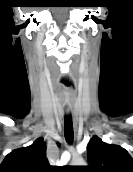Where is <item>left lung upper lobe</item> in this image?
Instances as JSON below:
<instances>
[{"mask_svg": "<svg viewBox=\"0 0 133 172\" xmlns=\"http://www.w3.org/2000/svg\"><path fill=\"white\" fill-rule=\"evenodd\" d=\"M89 166L85 172H133V160L128 152L118 145L106 144L94 136L87 146Z\"/></svg>", "mask_w": 133, "mask_h": 172, "instance_id": "obj_1", "label": "left lung upper lobe"}]
</instances>
